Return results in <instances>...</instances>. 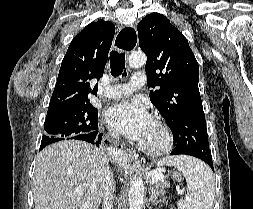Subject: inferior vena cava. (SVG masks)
I'll list each match as a JSON object with an SVG mask.
<instances>
[{
	"instance_id": "1",
	"label": "inferior vena cava",
	"mask_w": 253,
	"mask_h": 209,
	"mask_svg": "<svg viewBox=\"0 0 253 209\" xmlns=\"http://www.w3.org/2000/svg\"><path fill=\"white\" fill-rule=\"evenodd\" d=\"M111 135L113 138L118 139V136L115 133H112ZM104 190H105L106 199L108 200V204H110L111 200L113 199V193L115 190V182H114L113 174L109 168H107L106 173H105Z\"/></svg>"
}]
</instances>
